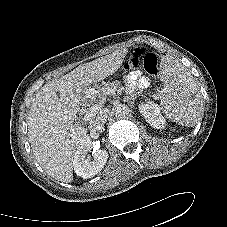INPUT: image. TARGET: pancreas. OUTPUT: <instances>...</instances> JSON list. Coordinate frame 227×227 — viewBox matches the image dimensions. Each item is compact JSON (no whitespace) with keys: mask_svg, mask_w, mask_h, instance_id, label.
Returning <instances> with one entry per match:
<instances>
[{"mask_svg":"<svg viewBox=\"0 0 227 227\" xmlns=\"http://www.w3.org/2000/svg\"><path fill=\"white\" fill-rule=\"evenodd\" d=\"M122 90L119 81L108 82L98 91L90 89L87 92V98L91 99L93 102L99 103V101L104 99L107 95L114 93L120 94Z\"/></svg>","mask_w":227,"mask_h":227,"instance_id":"1","label":"pancreas"}]
</instances>
